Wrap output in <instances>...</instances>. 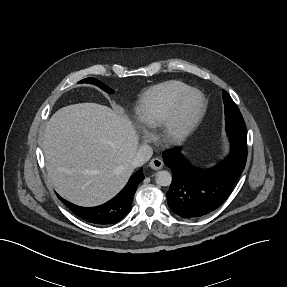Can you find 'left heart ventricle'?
<instances>
[{
  "mask_svg": "<svg viewBox=\"0 0 287 287\" xmlns=\"http://www.w3.org/2000/svg\"><path fill=\"white\" fill-rule=\"evenodd\" d=\"M190 102H191L190 100L187 101L186 106H185V110L188 109V106L190 105Z\"/></svg>",
  "mask_w": 287,
  "mask_h": 287,
  "instance_id": "b2bd125f",
  "label": "left heart ventricle"
}]
</instances>
